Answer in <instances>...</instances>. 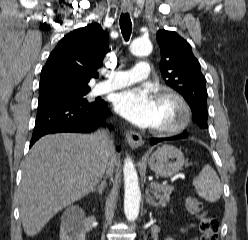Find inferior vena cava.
I'll return each instance as SVG.
<instances>
[{
    "label": "inferior vena cava",
    "instance_id": "obj_1",
    "mask_svg": "<svg viewBox=\"0 0 248 240\" xmlns=\"http://www.w3.org/2000/svg\"><path fill=\"white\" fill-rule=\"evenodd\" d=\"M106 138H107L108 143L110 145V149L114 150L113 142L109 139L108 135H106ZM113 169H114V164H113L112 160L107 159V163H106L107 175H111L113 173Z\"/></svg>",
    "mask_w": 248,
    "mask_h": 240
}]
</instances>
